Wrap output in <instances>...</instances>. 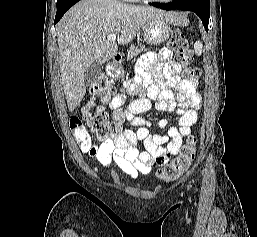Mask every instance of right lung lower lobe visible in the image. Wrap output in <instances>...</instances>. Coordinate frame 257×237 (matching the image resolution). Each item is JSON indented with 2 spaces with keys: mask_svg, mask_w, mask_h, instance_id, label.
I'll use <instances>...</instances> for the list:
<instances>
[{
  "mask_svg": "<svg viewBox=\"0 0 257 237\" xmlns=\"http://www.w3.org/2000/svg\"><path fill=\"white\" fill-rule=\"evenodd\" d=\"M80 0H69L68 2L61 4L59 6H57V13H56V17H55V21H54V25L62 18V16L64 15V13L70 8L72 7L75 3H77Z\"/></svg>",
  "mask_w": 257,
  "mask_h": 237,
  "instance_id": "right-lung-lower-lobe-1",
  "label": "right lung lower lobe"
}]
</instances>
